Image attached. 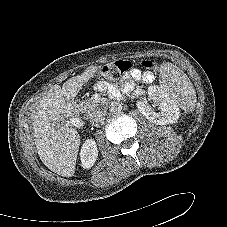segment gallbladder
<instances>
[{"instance_id": "bac80fb5", "label": "gallbladder", "mask_w": 227, "mask_h": 227, "mask_svg": "<svg viewBox=\"0 0 227 227\" xmlns=\"http://www.w3.org/2000/svg\"><path fill=\"white\" fill-rule=\"evenodd\" d=\"M59 125L66 126V120L59 121Z\"/></svg>"}]
</instances>
